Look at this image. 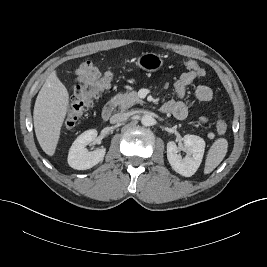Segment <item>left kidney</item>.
Segmentation results:
<instances>
[{"instance_id": "left-kidney-1", "label": "left kidney", "mask_w": 267, "mask_h": 267, "mask_svg": "<svg viewBox=\"0 0 267 267\" xmlns=\"http://www.w3.org/2000/svg\"><path fill=\"white\" fill-rule=\"evenodd\" d=\"M183 143L187 150V155L182 158L179 149L174 141L167 143V159L174 171L182 176L190 177L199 168L204 151L205 141L196 135H185Z\"/></svg>"}]
</instances>
